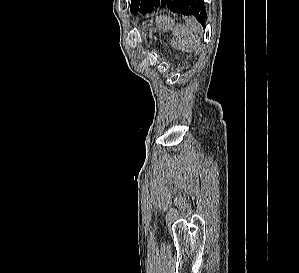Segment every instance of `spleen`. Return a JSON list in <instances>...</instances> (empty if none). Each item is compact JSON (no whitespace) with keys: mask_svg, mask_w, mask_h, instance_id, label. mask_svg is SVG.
Segmentation results:
<instances>
[{"mask_svg":"<svg viewBox=\"0 0 299 273\" xmlns=\"http://www.w3.org/2000/svg\"><path fill=\"white\" fill-rule=\"evenodd\" d=\"M200 32L201 25L196 20H186L185 25H177L173 29V34L176 37L173 47L189 53L195 51L200 45Z\"/></svg>","mask_w":299,"mask_h":273,"instance_id":"spleen-1","label":"spleen"}]
</instances>
